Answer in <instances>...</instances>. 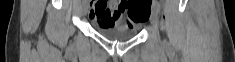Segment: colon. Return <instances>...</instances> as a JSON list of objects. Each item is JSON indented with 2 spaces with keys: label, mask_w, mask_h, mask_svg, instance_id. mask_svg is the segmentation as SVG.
I'll return each mask as SVG.
<instances>
[{
  "label": "colon",
  "mask_w": 235,
  "mask_h": 62,
  "mask_svg": "<svg viewBox=\"0 0 235 62\" xmlns=\"http://www.w3.org/2000/svg\"><path fill=\"white\" fill-rule=\"evenodd\" d=\"M96 6L99 9H103L107 5L105 3H98ZM121 9L126 12V18L133 24L144 21L148 12V7L144 6L140 1H128L121 6Z\"/></svg>",
  "instance_id": "obj_1"
}]
</instances>
